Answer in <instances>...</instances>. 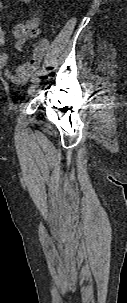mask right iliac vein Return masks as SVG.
Listing matches in <instances>:
<instances>
[{"label": "right iliac vein", "mask_w": 127, "mask_h": 303, "mask_svg": "<svg viewBox=\"0 0 127 303\" xmlns=\"http://www.w3.org/2000/svg\"><path fill=\"white\" fill-rule=\"evenodd\" d=\"M40 82H41V78L39 76L35 78L34 81H32V84L29 88V93L33 92L39 86Z\"/></svg>", "instance_id": "obj_1"}]
</instances>
